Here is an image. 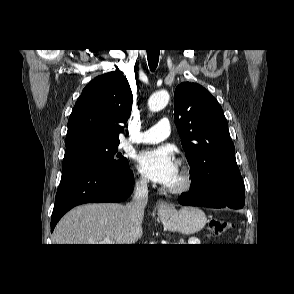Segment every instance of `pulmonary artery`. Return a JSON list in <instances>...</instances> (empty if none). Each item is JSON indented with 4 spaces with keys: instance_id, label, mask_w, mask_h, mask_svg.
I'll list each match as a JSON object with an SVG mask.
<instances>
[{
    "instance_id": "obj_1",
    "label": "pulmonary artery",
    "mask_w": 294,
    "mask_h": 294,
    "mask_svg": "<svg viewBox=\"0 0 294 294\" xmlns=\"http://www.w3.org/2000/svg\"><path fill=\"white\" fill-rule=\"evenodd\" d=\"M171 133V128L169 120L163 118L152 128L140 132L136 136L130 139L131 142L136 143H158L169 137Z\"/></svg>"
}]
</instances>
